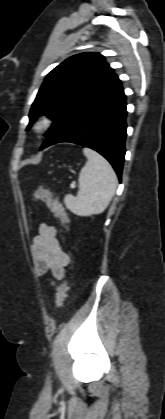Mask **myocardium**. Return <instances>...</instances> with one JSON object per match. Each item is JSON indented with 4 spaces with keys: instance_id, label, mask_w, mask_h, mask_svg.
<instances>
[{
    "instance_id": "f54148a6",
    "label": "myocardium",
    "mask_w": 165,
    "mask_h": 419,
    "mask_svg": "<svg viewBox=\"0 0 165 419\" xmlns=\"http://www.w3.org/2000/svg\"><path fill=\"white\" fill-rule=\"evenodd\" d=\"M51 126H52L51 118L47 115H42L34 123L33 129L37 134H44L47 131H49Z\"/></svg>"
}]
</instances>
